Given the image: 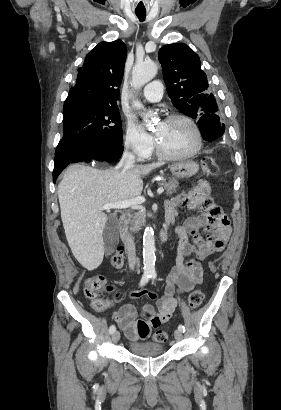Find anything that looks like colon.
I'll list each match as a JSON object with an SVG mask.
<instances>
[{
    "instance_id": "colon-1",
    "label": "colon",
    "mask_w": 281,
    "mask_h": 410,
    "mask_svg": "<svg viewBox=\"0 0 281 410\" xmlns=\"http://www.w3.org/2000/svg\"><path fill=\"white\" fill-rule=\"evenodd\" d=\"M202 170L207 177L216 176L219 173V166L212 157H205L202 160ZM199 207L202 213L211 216H223L227 220V217L221 214L219 206L212 197L205 196ZM111 264L115 267H120L123 264V255L120 250L111 256ZM110 290L111 287L107 285V279L102 274L90 276L84 282V293L92 301L93 308L97 311H103L108 307L109 301L106 299L105 294ZM202 301V291L199 289L194 290L188 297L189 309H197ZM153 340L164 343L168 340V333L164 330H158L154 332Z\"/></svg>"
}]
</instances>
